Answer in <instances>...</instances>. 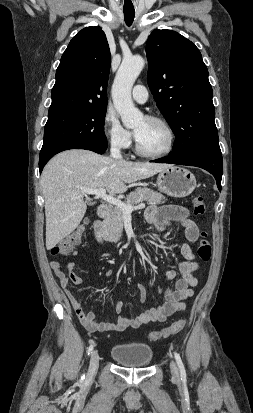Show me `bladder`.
<instances>
[{
    "instance_id": "bladder-1",
    "label": "bladder",
    "mask_w": 253,
    "mask_h": 413,
    "mask_svg": "<svg viewBox=\"0 0 253 413\" xmlns=\"http://www.w3.org/2000/svg\"><path fill=\"white\" fill-rule=\"evenodd\" d=\"M112 359L121 366L141 368L153 360V350L142 343L118 344L111 349Z\"/></svg>"
}]
</instances>
